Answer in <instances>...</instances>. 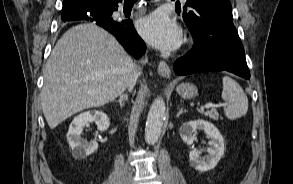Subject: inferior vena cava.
I'll return each mask as SVG.
<instances>
[{"instance_id":"602c4592","label":"inferior vena cava","mask_w":293,"mask_h":184,"mask_svg":"<svg viewBox=\"0 0 293 184\" xmlns=\"http://www.w3.org/2000/svg\"><path fill=\"white\" fill-rule=\"evenodd\" d=\"M147 59H144V60H141V63H147ZM141 71L137 70V66L135 65V71H134V75L133 77L131 78V81L128 85V90L129 91H132L137 79H138V76L140 75Z\"/></svg>"}]
</instances>
